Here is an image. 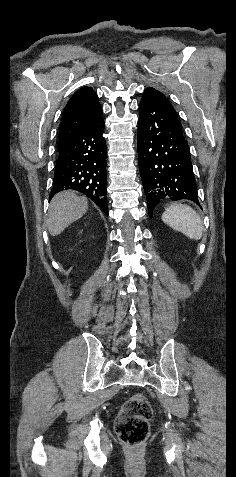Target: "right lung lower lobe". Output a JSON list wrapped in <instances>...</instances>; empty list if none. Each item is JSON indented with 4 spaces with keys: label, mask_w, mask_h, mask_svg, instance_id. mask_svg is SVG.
I'll return each instance as SVG.
<instances>
[{
    "label": "right lung lower lobe",
    "mask_w": 236,
    "mask_h": 477,
    "mask_svg": "<svg viewBox=\"0 0 236 477\" xmlns=\"http://www.w3.org/2000/svg\"><path fill=\"white\" fill-rule=\"evenodd\" d=\"M104 126L101 116L78 136L59 146L51 198L62 190L73 189L88 196L108 215Z\"/></svg>",
    "instance_id": "1"
}]
</instances>
